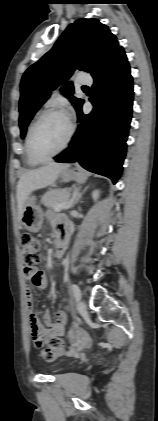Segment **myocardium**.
Segmentation results:
<instances>
[{"label": "myocardium", "instance_id": "1", "mask_svg": "<svg viewBox=\"0 0 158 421\" xmlns=\"http://www.w3.org/2000/svg\"><path fill=\"white\" fill-rule=\"evenodd\" d=\"M52 114H61L67 117L68 122H69V133L68 136L66 138V140L64 141V143L62 144V146L55 151L53 154L47 156V157H40L38 156L35 151H34V147H33V138H34V134L38 128V126L42 123V121L52 115ZM74 132H75V128L73 123L71 122V120L68 118L67 114L60 108H49L44 110L35 120V122L33 123V125L31 126L30 132H29V136H28V150H29V154L31 156V158L38 162V163H45L48 162L50 160H52L54 157H56L57 155H59L61 152H63L68 145L70 144L73 136H74Z\"/></svg>", "mask_w": 158, "mask_h": 421}]
</instances>
